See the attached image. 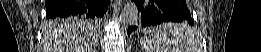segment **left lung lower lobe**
<instances>
[{
    "label": "left lung lower lobe",
    "instance_id": "1",
    "mask_svg": "<svg viewBox=\"0 0 261 52\" xmlns=\"http://www.w3.org/2000/svg\"><path fill=\"white\" fill-rule=\"evenodd\" d=\"M134 2L138 8L139 20L136 25L128 28V34L138 27H148L163 22H184L188 29L190 28L187 24L194 25L185 0H134ZM185 34L187 35L186 30L184 33H177V37L181 38Z\"/></svg>",
    "mask_w": 261,
    "mask_h": 52
}]
</instances>
